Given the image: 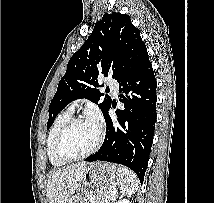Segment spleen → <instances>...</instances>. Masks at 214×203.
Segmentation results:
<instances>
[{
    "instance_id": "spleen-1",
    "label": "spleen",
    "mask_w": 214,
    "mask_h": 203,
    "mask_svg": "<svg viewBox=\"0 0 214 203\" xmlns=\"http://www.w3.org/2000/svg\"><path fill=\"white\" fill-rule=\"evenodd\" d=\"M117 184L124 195H130L137 191L139 180L137 176L126 167L117 169Z\"/></svg>"
}]
</instances>
